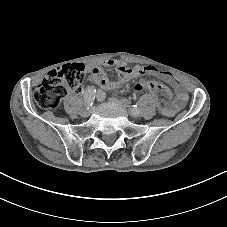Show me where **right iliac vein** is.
I'll return each instance as SVG.
<instances>
[{"instance_id": "obj_1", "label": "right iliac vein", "mask_w": 227, "mask_h": 227, "mask_svg": "<svg viewBox=\"0 0 227 227\" xmlns=\"http://www.w3.org/2000/svg\"><path fill=\"white\" fill-rule=\"evenodd\" d=\"M90 112H91V110L85 109V110H83L82 115L83 116H89Z\"/></svg>"}]
</instances>
